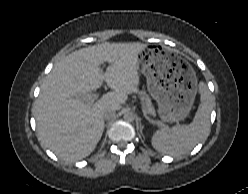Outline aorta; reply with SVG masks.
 Returning <instances> with one entry per match:
<instances>
[{"label":"aorta","mask_w":248,"mask_h":194,"mask_svg":"<svg viewBox=\"0 0 248 194\" xmlns=\"http://www.w3.org/2000/svg\"><path fill=\"white\" fill-rule=\"evenodd\" d=\"M125 121L131 122L135 119V115L131 111H126L123 115Z\"/></svg>","instance_id":"1"}]
</instances>
